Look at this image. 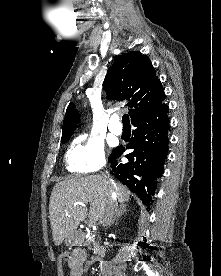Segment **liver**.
I'll return each instance as SVG.
<instances>
[{
	"mask_svg": "<svg viewBox=\"0 0 221 276\" xmlns=\"http://www.w3.org/2000/svg\"><path fill=\"white\" fill-rule=\"evenodd\" d=\"M115 190L119 203L130 199V191L121 183L101 175H90L58 182L51 193L49 218L53 241L59 246L73 234L81 221H101L110 192ZM82 203L83 205L77 204ZM90 204L89 210L86 205Z\"/></svg>",
	"mask_w": 221,
	"mask_h": 276,
	"instance_id": "obj_1",
	"label": "liver"
}]
</instances>
